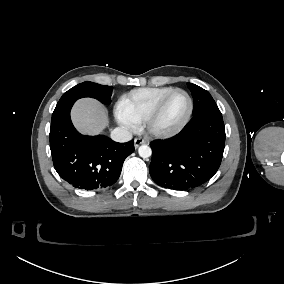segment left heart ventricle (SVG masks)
<instances>
[{"label":"left heart ventricle","instance_id":"b2bd125f","mask_svg":"<svg viewBox=\"0 0 284 284\" xmlns=\"http://www.w3.org/2000/svg\"><path fill=\"white\" fill-rule=\"evenodd\" d=\"M189 109L186 94L182 91L172 94L164 104L163 109L153 121L156 131L165 132L177 128L185 119Z\"/></svg>","mask_w":284,"mask_h":284}]
</instances>
